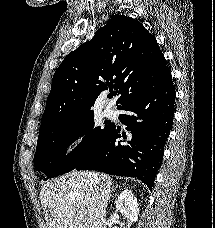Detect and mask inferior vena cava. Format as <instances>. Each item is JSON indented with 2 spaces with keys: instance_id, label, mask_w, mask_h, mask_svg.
<instances>
[{
  "instance_id": "inferior-vena-cava-1",
  "label": "inferior vena cava",
  "mask_w": 215,
  "mask_h": 228,
  "mask_svg": "<svg viewBox=\"0 0 215 228\" xmlns=\"http://www.w3.org/2000/svg\"><path fill=\"white\" fill-rule=\"evenodd\" d=\"M92 180H95V182H100V178L96 176V174H90ZM99 188H102V184H100Z\"/></svg>"
}]
</instances>
